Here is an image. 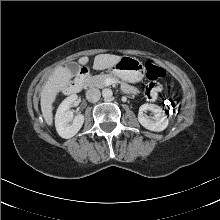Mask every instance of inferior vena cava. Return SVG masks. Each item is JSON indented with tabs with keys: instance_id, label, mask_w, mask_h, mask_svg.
Masks as SVG:
<instances>
[{
	"instance_id": "obj_1",
	"label": "inferior vena cava",
	"mask_w": 220,
	"mask_h": 220,
	"mask_svg": "<svg viewBox=\"0 0 220 220\" xmlns=\"http://www.w3.org/2000/svg\"><path fill=\"white\" fill-rule=\"evenodd\" d=\"M100 97H101L100 90L96 88H91L86 92V99L89 102H97L100 99Z\"/></svg>"
}]
</instances>
